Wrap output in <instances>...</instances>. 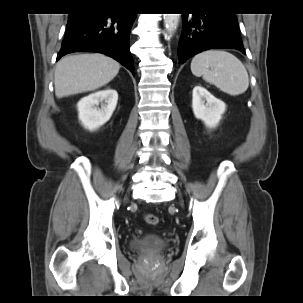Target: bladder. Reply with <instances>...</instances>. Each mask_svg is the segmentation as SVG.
<instances>
[{
	"label": "bladder",
	"mask_w": 303,
	"mask_h": 303,
	"mask_svg": "<svg viewBox=\"0 0 303 303\" xmlns=\"http://www.w3.org/2000/svg\"><path fill=\"white\" fill-rule=\"evenodd\" d=\"M170 246L168 240L154 233H146L140 238L130 241L129 247L138 252H157Z\"/></svg>",
	"instance_id": "obj_1"
}]
</instances>
